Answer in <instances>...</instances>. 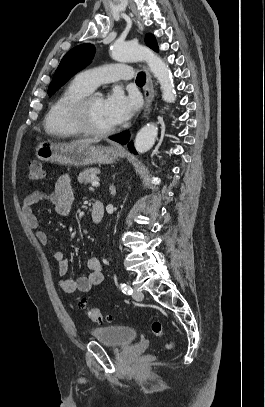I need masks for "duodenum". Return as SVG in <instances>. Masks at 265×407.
<instances>
[{
	"label": "duodenum",
	"instance_id": "1",
	"mask_svg": "<svg viewBox=\"0 0 265 407\" xmlns=\"http://www.w3.org/2000/svg\"><path fill=\"white\" fill-rule=\"evenodd\" d=\"M105 216V207L101 201H95L91 207V217L93 221L99 222Z\"/></svg>",
	"mask_w": 265,
	"mask_h": 407
}]
</instances>
